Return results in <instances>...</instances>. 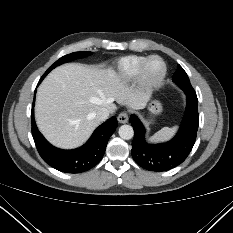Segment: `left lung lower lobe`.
I'll return each mask as SVG.
<instances>
[{"mask_svg":"<svg viewBox=\"0 0 233 233\" xmlns=\"http://www.w3.org/2000/svg\"><path fill=\"white\" fill-rule=\"evenodd\" d=\"M187 106L182 124L176 136L169 142L149 144L145 140V128L136 115H131L134 129L131 154L134 161L149 171H166L180 165L189 155L196 140L199 125L198 99L194 89L184 90Z\"/></svg>","mask_w":233,"mask_h":233,"instance_id":"1","label":"left lung lower lobe"}]
</instances>
